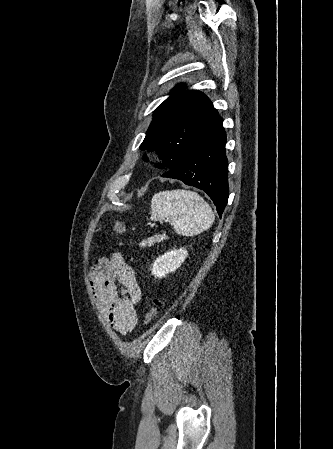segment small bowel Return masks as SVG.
<instances>
[{
    "instance_id": "small-bowel-1",
    "label": "small bowel",
    "mask_w": 333,
    "mask_h": 449,
    "mask_svg": "<svg viewBox=\"0 0 333 449\" xmlns=\"http://www.w3.org/2000/svg\"><path fill=\"white\" fill-rule=\"evenodd\" d=\"M95 303L108 324L127 334L138 324L141 289L134 270L120 253L101 258L90 270Z\"/></svg>"
}]
</instances>
